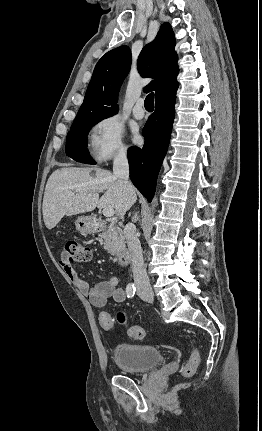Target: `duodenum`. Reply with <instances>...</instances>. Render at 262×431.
<instances>
[{
	"label": "duodenum",
	"instance_id": "obj_1",
	"mask_svg": "<svg viewBox=\"0 0 262 431\" xmlns=\"http://www.w3.org/2000/svg\"><path fill=\"white\" fill-rule=\"evenodd\" d=\"M97 230H102L104 228V224L100 221H96L94 223ZM117 261L120 265H127L130 262V253L127 249L121 250L116 254Z\"/></svg>",
	"mask_w": 262,
	"mask_h": 431
}]
</instances>
